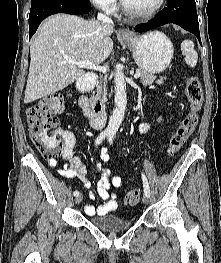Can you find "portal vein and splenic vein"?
<instances>
[{
    "label": "portal vein and splenic vein",
    "mask_w": 221,
    "mask_h": 263,
    "mask_svg": "<svg viewBox=\"0 0 221 263\" xmlns=\"http://www.w3.org/2000/svg\"><path fill=\"white\" fill-rule=\"evenodd\" d=\"M66 63H70V64H74L77 65L78 67H84L87 69H92V70H96L102 73H106L107 72V68L105 66H100V65H96L92 62H90L89 60H73V59H69L66 60ZM141 76V74L139 72L134 74V78H139Z\"/></svg>",
    "instance_id": "1"
}]
</instances>
